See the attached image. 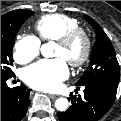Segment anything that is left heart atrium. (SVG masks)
Listing matches in <instances>:
<instances>
[{"label": "left heart atrium", "instance_id": "1", "mask_svg": "<svg viewBox=\"0 0 121 121\" xmlns=\"http://www.w3.org/2000/svg\"><path fill=\"white\" fill-rule=\"evenodd\" d=\"M66 60L62 57L40 60L23 71L24 81L33 88L54 91L68 77Z\"/></svg>", "mask_w": 121, "mask_h": 121}]
</instances>
